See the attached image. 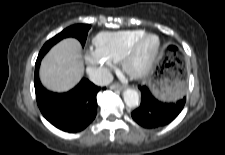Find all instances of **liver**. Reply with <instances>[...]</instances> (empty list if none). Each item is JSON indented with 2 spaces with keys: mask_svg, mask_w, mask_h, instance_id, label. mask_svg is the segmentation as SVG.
<instances>
[{
  "mask_svg": "<svg viewBox=\"0 0 225 155\" xmlns=\"http://www.w3.org/2000/svg\"><path fill=\"white\" fill-rule=\"evenodd\" d=\"M84 74L82 47L78 40L66 38L57 43L43 58L39 75L42 84L54 92H67Z\"/></svg>",
  "mask_w": 225,
  "mask_h": 155,
  "instance_id": "6515ba94",
  "label": "liver"
}]
</instances>
